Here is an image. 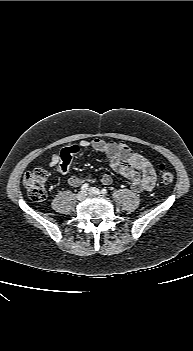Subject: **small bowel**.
I'll use <instances>...</instances> for the list:
<instances>
[{
  "label": "small bowel",
  "instance_id": "1",
  "mask_svg": "<svg viewBox=\"0 0 193 351\" xmlns=\"http://www.w3.org/2000/svg\"><path fill=\"white\" fill-rule=\"evenodd\" d=\"M88 148L104 155L111 168L130 181L131 189L134 192H149L154 188L156 172L153 164L125 143L105 141L100 138L69 143L54 151L49 156V161L59 173L66 174L71 168V157L81 156ZM94 180L90 176H72L67 180V183L71 187H77L86 181ZM99 180L103 185H110L113 181L109 174H103Z\"/></svg>",
  "mask_w": 193,
  "mask_h": 351
}]
</instances>
